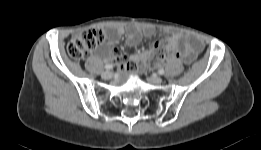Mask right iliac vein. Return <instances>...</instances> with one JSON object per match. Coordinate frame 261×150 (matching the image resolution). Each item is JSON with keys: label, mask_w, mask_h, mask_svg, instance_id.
Returning <instances> with one entry per match:
<instances>
[{"label": "right iliac vein", "mask_w": 261, "mask_h": 150, "mask_svg": "<svg viewBox=\"0 0 261 150\" xmlns=\"http://www.w3.org/2000/svg\"><path fill=\"white\" fill-rule=\"evenodd\" d=\"M102 78L105 80L111 79L113 77V73L111 71H105L102 73Z\"/></svg>", "instance_id": "right-iliac-vein-1"}]
</instances>
